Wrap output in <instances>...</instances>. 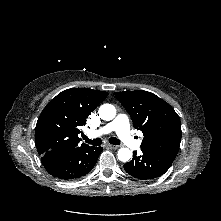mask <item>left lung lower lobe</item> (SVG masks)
<instances>
[{
    "mask_svg": "<svg viewBox=\"0 0 221 221\" xmlns=\"http://www.w3.org/2000/svg\"><path fill=\"white\" fill-rule=\"evenodd\" d=\"M142 155L134 152L133 159L124 165L125 171L140 180H151L163 175L171 166L175 155L141 147Z\"/></svg>",
    "mask_w": 221,
    "mask_h": 221,
    "instance_id": "1",
    "label": "left lung lower lobe"
}]
</instances>
